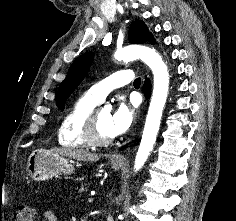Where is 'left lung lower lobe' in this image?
<instances>
[{
    "label": "left lung lower lobe",
    "mask_w": 236,
    "mask_h": 221,
    "mask_svg": "<svg viewBox=\"0 0 236 221\" xmlns=\"http://www.w3.org/2000/svg\"><path fill=\"white\" fill-rule=\"evenodd\" d=\"M150 91H151V83H150L149 79H146L145 83H144V94H145L146 98L149 97Z\"/></svg>",
    "instance_id": "obj_1"
}]
</instances>
